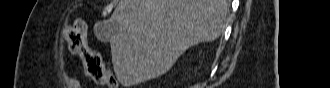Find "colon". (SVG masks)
<instances>
[{
	"instance_id": "1",
	"label": "colon",
	"mask_w": 330,
	"mask_h": 88,
	"mask_svg": "<svg viewBox=\"0 0 330 88\" xmlns=\"http://www.w3.org/2000/svg\"><path fill=\"white\" fill-rule=\"evenodd\" d=\"M62 36L72 53L80 54L83 58L84 69L95 83L110 88L117 87V80L113 73L105 66L100 54L90 49L85 40L83 28L80 23L66 26L62 30Z\"/></svg>"
}]
</instances>
